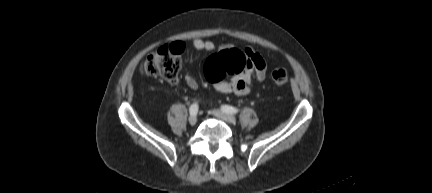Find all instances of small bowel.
<instances>
[{
  "label": "small bowel",
  "instance_id": "small-bowel-1",
  "mask_svg": "<svg viewBox=\"0 0 432 193\" xmlns=\"http://www.w3.org/2000/svg\"><path fill=\"white\" fill-rule=\"evenodd\" d=\"M192 46L196 51L211 52L215 50V44L210 40L196 38L192 41ZM183 47V46H182ZM232 46L227 44L220 47V51L231 49ZM248 58V68L242 73L235 75L230 81L221 80L215 83V89L222 94H234L236 96H246L250 92L253 79L263 81L266 77V63L264 58L256 51L246 48L243 51ZM186 85L190 89L198 87L197 78L192 73L185 76Z\"/></svg>",
  "mask_w": 432,
  "mask_h": 193
}]
</instances>
